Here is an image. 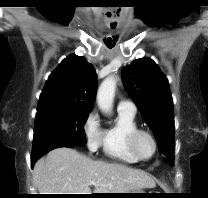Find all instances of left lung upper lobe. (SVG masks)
Here are the masks:
<instances>
[{"label":"left lung upper lobe","mask_w":208,"mask_h":198,"mask_svg":"<svg viewBox=\"0 0 208 198\" xmlns=\"http://www.w3.org/2000/svg\"><path fill=\"white\" fill-rule=\"evenodd\" d=\"M125 89L152 130L160 154L174 162L173 101L168 80L150 58L134 60L122 68Z\"/></svg>","instance_id":"obj_1"}]
</instances>
